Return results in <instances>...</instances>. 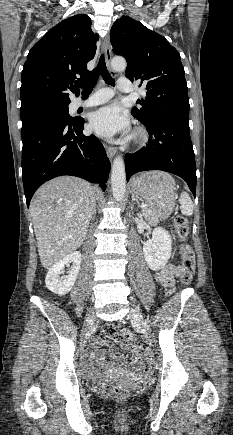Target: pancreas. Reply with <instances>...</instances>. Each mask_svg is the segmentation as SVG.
I'll return each mask as SVG.
<instances>
[{
  "label": "pancreas",
  "mask_w": 233,
  "mask_h": 435,
  "mask_svg": "<svg viewBox=\"0 0 233 435\" xmlns=\"http://www.w3.org/2000/svg\"><path fill=\"white\" fill-rule=\"evenodd\" d=\"M142 213L144 218L151 224L157 223L159 221L158 215L151 207H146L142 209Z\"/></svg>",
  "instance_id": "obj_1"
}]
</instances>
